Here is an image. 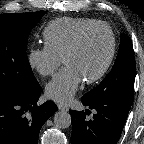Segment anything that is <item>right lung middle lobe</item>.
Here are the masks:
<instances>
[{
	"instance_id": "1",
	"label": "right lung middle lobe",
	"mask_w": 144,
	"mask_h": 144,
	"mask_svg": "<svg viewBox=\"0 0 144 144\" xmlns=\"http://www.w3.org/2000/svg\"><path fill=\"white\" fill-rule=\"evenodd\" d=\"M45 13L0 15V93H26L39 85L27 59L26 45L31 29Z\"/></svg>"
}]
</instances>
